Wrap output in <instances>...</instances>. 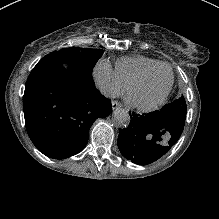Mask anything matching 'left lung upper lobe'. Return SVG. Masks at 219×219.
I'll return each instance as SVG.
<instances>
[{
	"instance_id": "1",
	"label": "left lung upper lobe",
	"mask_w": 219,
	"mask_h": 219,
	"mask_svg": "<svg viewBox=\"0 0 219 219\" xmlns=\"http://www.w3.org/2000/svg\"><path fill=\"white\" fill-rule=\"evenodd\" d=\"M160 112L173 114L175 116H178L182 119H186V102L184 97L175 100L174 102L165 105L162 107Z\"/></svg>"
}]
</instances>
